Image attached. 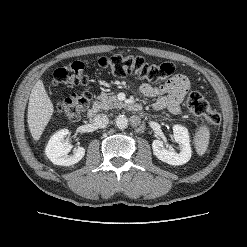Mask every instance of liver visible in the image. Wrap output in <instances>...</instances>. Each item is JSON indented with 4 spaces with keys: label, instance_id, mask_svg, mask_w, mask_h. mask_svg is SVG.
<instances>
[{
    "label": "liver",
    "instance_id": "liver-1",
    "mask_svg": "<svg viewBox=\"0 0 247 247\" xmlns=\"http://www.w3.org/2000/svg\"><path fill=\"white\" fill-rule=\"evenodd\" d=\"M54 113V107L42 80L34 85L28 103V127L35 141H38Z\"/></svg>",
    "mask_w": 247,
    "mask_h": 247
}]
</instances>
